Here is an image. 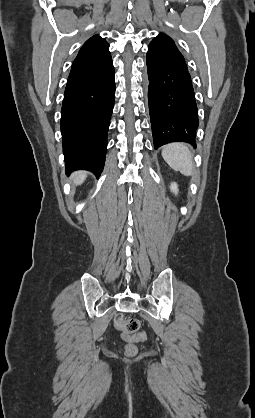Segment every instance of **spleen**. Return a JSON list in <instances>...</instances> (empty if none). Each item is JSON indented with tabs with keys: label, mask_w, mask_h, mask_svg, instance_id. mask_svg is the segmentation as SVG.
Returning <instances> with one entry per match:
<instances>
[{
	"label": "spleen",
	"mask_w": 255,
	"mask_h": 418,
	"mask_svg": "<svg viewBox=\"0 0 255 418\" xmlns=\"http://www.w3.org/2000/svg\"><path fill=\"white\" fill-rule=\"evenodd\" d=\"M162 157L175 171H180L185 176L193 173V156L188 146L184 143H170L162 149Z\"/></svg>",
	"instance_id": "3e777b00"
}]
</instances>
